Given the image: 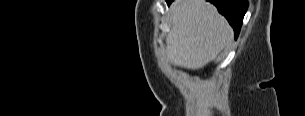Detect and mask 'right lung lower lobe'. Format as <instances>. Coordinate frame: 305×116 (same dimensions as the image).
<instances>
[{"label": "right lung lower lobe", "instance_id": "obj_1", "mask_svg": "<svg viewBox=\"0 0 305 116\" xmlns=\"http://www.w3.org/2000/svg\"><path fill=\"white\" fill-rule=\"evenodd\" d=\"M170 4L173 0H166ZM225 16L234 29L235 39L238 37L243 17L248 8L247 0H208Z\"/></svg>", "mask_w": 305, "mask_h": 116}]
</instances>
